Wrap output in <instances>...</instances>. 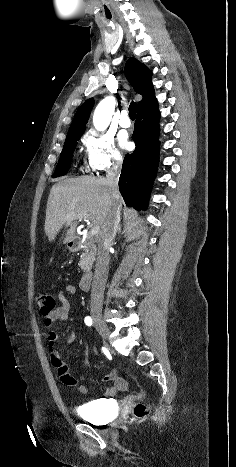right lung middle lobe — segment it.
<instances>
[{
    "label": "right lung middle lobe",
    "instance_id": "dd1d6c3e",
    "mask_svg": "<svg viewBox=\"0 0 236 467\" xmlns=\"http://www.w3.org/2000/svg\"><path fill=\"white\" fill-rule=\"evenodd\" d=\"M83 133H75L67 135L63 150L60 155L59 162L53 177L66 175L71 164L72 154L76 148L77 141Z\"/></svg>",
    "mask_w": 236,
    "mask_h": 467
}]
</instances>
